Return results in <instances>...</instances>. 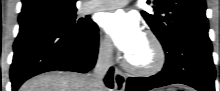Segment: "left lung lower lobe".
I'll use <instances>...</instances> for the list:
<instances>
[{
  "label": "left lung lower lobe",
  "mask_w": 220,
  "mask_h": 91,
  "mask_svg": "<svg viewBox=\"0 0 220 91\" xmlns=\"http://www.w3.org/2000/svg\"><path fill=\"white\" fill-rule=\"evenodd\" d=\"M163 48L166 62L162 71L150 78H128L126 91H146L174 83L198 91H215V68L208 36L182 35Z\"/></svg>",
  "instance_id": "1"
}]
</instances>
